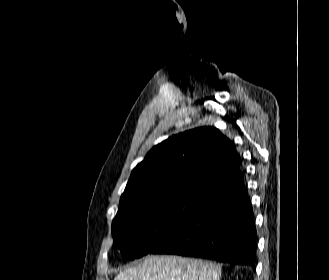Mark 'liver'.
<instances>
[{
	"instance_id": "6515ba94",
	"label": "liver",
	"mask_w": 329,
	"mask_h": 280,
	"mask_svg": "<svg viewBox=\"0 0 329 280\" xmlns=\"http://www.w3.org/2000/svg\"><path fill=\"white\" fill-rule=\"evenodd\" d=\"M221 266L174 255H151L114 280H220Z\"/></svg>"
}]
</instances>
